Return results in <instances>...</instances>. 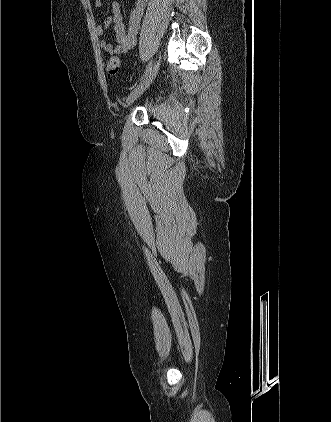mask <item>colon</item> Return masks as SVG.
<instances>
[{
    "instance_id": "5ec220e1",
    "label": "colon",
    "mask_w": 331,
    "mask_h": 422,
    "mask_svg": "<svg viewBox=\"0 0 331 422\" xmlns=\"http://www.w3.org/2000/svg\"><path fill=\"white\" fill-rule=\"evenodd\" d=\"M120 71V59L117 56H112L107 62V72L110 76H116Z\"/></svg>"
}]
</instances>
